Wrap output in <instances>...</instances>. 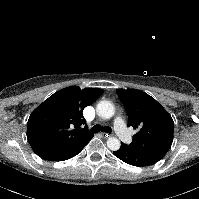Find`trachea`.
<instances>
[{
    "label": "trachea",
    "instance_id": "1",
    "mask_svg": "<svg viewBox=\"0 0 199 199\" xmlns=\"http://www.w3.org/2000/svg\"><path fill=\"white\" fill-rule=\"evenodd\" d=\"M100 131H102V132H106V133H111L112 132V130H111V127H109V126H101V125H99V124H96V125H94L91 129H90V132L91 133H98V132H100Z\"/></svg>",
    "mask_w": 199,
    "mask_h": 199
}]
</instances>
